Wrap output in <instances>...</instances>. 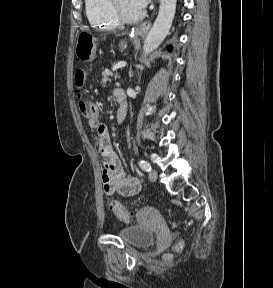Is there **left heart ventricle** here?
<instances>
[{
    "label": "left heart ventricle",
    "mask_w": 273,
    "mask_h": 288,
    "mask_svg": "<svg viewBox=\"0 0 273 288\" xmlns=\"http://www.w3.org/2000/svg\"><path fill=\"white\" fill-rule=\"evenodd\" d=\"M118 5L122 14L127 17H135L141 13L132 0H119Z\"/></svg>",
    "instance_id": "b2bd125f"
}]
</instances>
